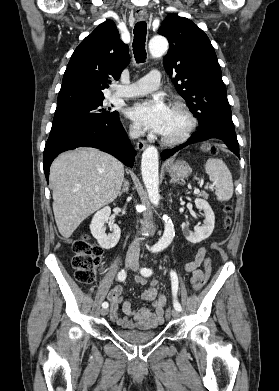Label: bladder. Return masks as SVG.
<instances>
[{"mask_svg": "<svg viewBox=\"0 0 279 391\" xmlns=\"http://www.w3.org/2000/svg\"><path fill=\"white\" fill-rule=\"evenodd\" d=\"M115 334L118 338L131 343V344H143L151 341L155 338L156 333L152 331L140 332V331H129V330H115Z\"/></svg>", "mask_w": 279, "mask_h": 391, "instance_id": "31cf9c89", "label": "bladder"}]
</instances>
